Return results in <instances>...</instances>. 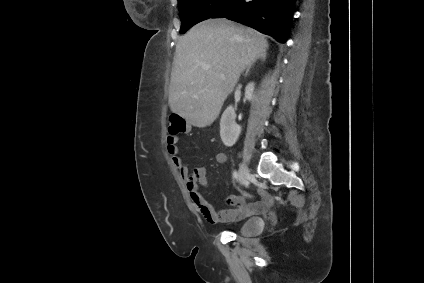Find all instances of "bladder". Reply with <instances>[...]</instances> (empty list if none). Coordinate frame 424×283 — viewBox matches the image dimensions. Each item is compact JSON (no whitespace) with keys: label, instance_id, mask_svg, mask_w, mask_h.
I'll return each instance as SVG.
<instances>
[{"label":"bladder","instance_id":"31cf9c89","mask_svg":"<svg viewBox=\"0 0 424 283\" xmlns=\"http://www.w3.org/2000/svg\"><path fill=\"white\" fill-rule=\"evenodd\" d=\"M264 228V221L259 217L246 220L239 227V234L243 237H253L259 235Z\"/></svg>","mask_w":424,"mask_h":283}]
</instances>
